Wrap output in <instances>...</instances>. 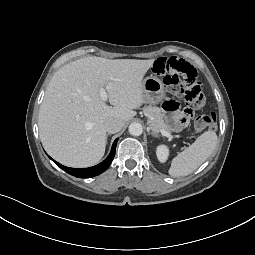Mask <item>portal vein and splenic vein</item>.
I'll use <instances>...</instances> for the list:
<instances>
[{
	"mask_svg": "<svg viewBox=\"0 0 255 255\" xmlns=\"http://www.w3.org/2000/svg\"><path fill=\"white\" fill-rule=\"evenodd\" d=\"M99 93H100V96H101L103 101H106L108 99L107 93H106L104 88H100ZM160 132H161V134L163 136H165V137H167L169 139L173 138V136L169 132H167L165 130H161Z\"/></svg>",
	"mask_w": 255,
	"mask_h": 255,
	"instance_id": "obj_1",
	"label": "portal vein and splenic vein"
}]
</instances>
